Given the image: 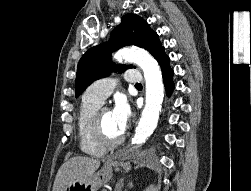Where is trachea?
Masks as SVG:
<instances>
[{
  "label": "trachea",
  "mask_w": 251,
  "mask_h": 191,
  "mask_svg": "<svg viewBox=\"0 0 251 191\" xmlns=\"http://www.w3.org/2000/svg\"><path fill=\"white\" fill-rule=\"evenodd\" d=\"M142 86L141 83H135V87Z\"/></svg>",
  "instance_id": "trachea-1"
}]
</instances>
